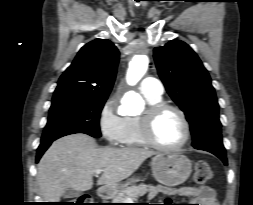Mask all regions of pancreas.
I'll return each instance as SVG.
<instances>
[{"label": "pancreas", "instance_id": "1", "mask_svg": "<svg viewBox=\"0 0 253 205\" xmlns=\"http://www.w3.org/2000/svg\"><path fill=\"white\" fill-rule=\"evenodd\" d=\"M152 190V186H146L140 184L138 186H132L121 190L115 196L112 197V203H131L138 197L144 196L147 192ZM156 193L150 195V199L153 198Z\"/></svg>", "mask_w": 253, "mask_h": 205}]
</instances>
